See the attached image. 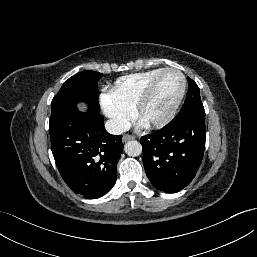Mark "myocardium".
<instances>
[{
	"mask_svg": "<svg viewBox=\"0 0 257 257\" xmlns=\"http://www.w3.org/2000/svg\"><path fill=\"white\" fill-rule=\"evenodd\" d=\"M169 72H175L181 76V79H182L181 92H180L176 102L173 104V106L170 108V110L163 117H161L157 120L144 122L143 115H144L145 108L148 105V103L150 102V100L152 99L160 79L166 73H169ZM186 89H187V79H186V76L184 75V73L176 68H165L158 75H156L154 77V79L150 82V84L147 86L145 91L140 96V98L135 106L136 118L139 121L143 122V124L145 125L146 128L158 129V128H162V127L166 126L176 116L178 109L184 99Z\"/></svg>",
	"mask_w": 257,
	"mask_h": 257,
	"instance_id": "obj_1",
	"label": "myocardium"
}]
</instances>
